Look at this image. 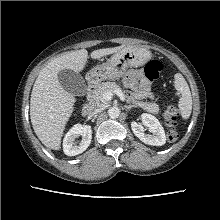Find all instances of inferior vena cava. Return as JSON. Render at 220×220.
Listing matches in <instances>:
<instances>
[{"label":"inferior vena cava","mask_w":220,"mask_h":220,"mask_svg":"<svg viewBox=\"0 0 220 220\" xmlns=\"http://www.w3.org/2000/svg\"><path fill=\"white\" fill-rule=\"evenodd\" d=\"M101 111V109H94L92 111L89 112V116L92 117L94 116L95 114L99 113Z\"/></svg>","instance_id":"inferior-vena-cava-1"}]
</instances>
